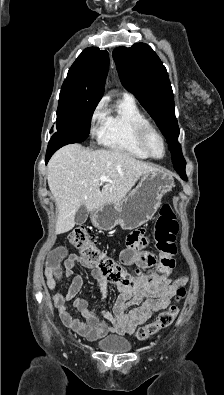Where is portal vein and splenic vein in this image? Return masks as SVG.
Returning a JSON list of instances; mask_svg holds the SVG:
<instances>
[{
	"mask_svg": "<svg viewBox=\"0 0 224 395\" xmlns=\"http://www.w3.org/2000/svg\"><path fill=\"white\" fill-rule=\"evenodd\" d=\"M100 181L101 182H106V181H109V180H108V178L105 175H103V176L100 177Z\"/></svg>",
	"mask_w": 224,
	"mask_h": 395,
	"instance_id": "obj_1",
	"label": "portal vein and splenic vein"
}]
</instances>
